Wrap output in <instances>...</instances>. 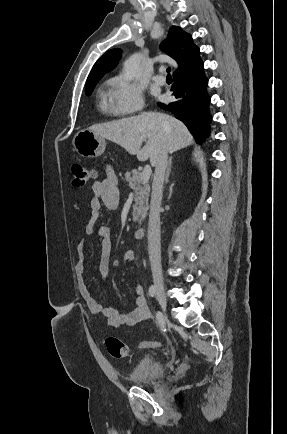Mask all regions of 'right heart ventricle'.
I'll use <instances>...</instances> for the list:
<instances>
[{"instance_id":"e07e8e85","label":"right heart ventricle","mask_w":287,"mask_h":434,"mask_svg":"<svg viewBox=\"0 0 287 434\" xmlns=\"http://www.w3.org/2000/svg\"><path fill=\"white\" fill-rule=\"evenodd\" d=\"M100 107H101L102 110H104L106 112L113 113L112 110H111V108H110L109 103L106 100V95L105 94H103V98L101 100Z\"/></svg>"}]
</instances>
